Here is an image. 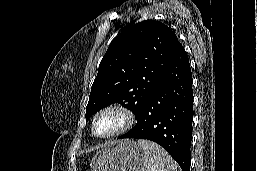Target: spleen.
I'll use <instances>...</instances> for the list:
<instances>
[{"instance_id":"3e777b00","label":"spleen","mask_w":257,"mask_h":171,"mask_svg":"<svg viewBox=\"0 0 257 171\" xmlns=\"http://www.w3.org/2000/svg\"><path fill=\"white\" fill-rule=\"evenodd\" d=\"M138 145L144 149L141 171H176L174 160L161 146L148 140H138Z\"/></svg>"}]
</instances>
